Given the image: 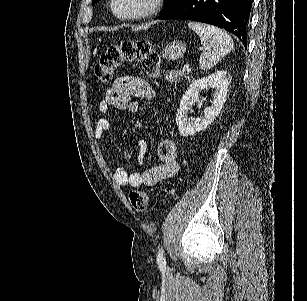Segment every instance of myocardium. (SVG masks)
<instances>
[{
    "label": "myocardium",
    "mask_w": 307,
    "mask_h": 301,
    "mask_svg": "<svg viewBox=\"0 0 307 301\" xmlns=\"http://www.w3.org/2000/svg\"><path fill=\"white\" fill-rule=\"evenodd\" d=\"M119 2L120 0H111L108 11L111 12L113 16H118L119 22H136L137 18L152 17L161 0H149L142 11H133L132 8H124V5ZM120 9H122V11H120Z\"/></svg>",
    "instance_id": "obj_1"
}]
</instances>
